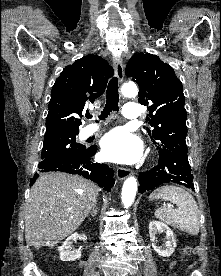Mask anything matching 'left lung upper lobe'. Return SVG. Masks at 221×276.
<instances>
[{"label":"left lung upper lobe","mask_w":221,"mask_h":276,"mask_svg":"<svg viewBox=\"0 0 221 276\" xmlns=\"http://www.w3.org/2000/svg\"><path fill=\"white\" fill-rule=\"evenodd\" d=\"M125 74L140 87L138 101L147 106L149 137L157 148L188 151L183 86L170 65L149 53L134 54Z\"/></svg>","instance_id":"1"}]
</instances>
